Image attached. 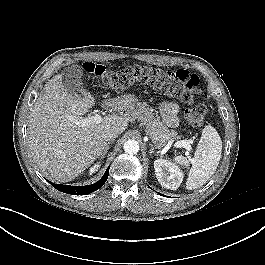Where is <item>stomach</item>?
<instances>
[{"instance_id":"1","label":"stomach","mask_w":265,"mask_h":265,"mask_svg":"<svg viewBox=\"0 0 265 265\" xmlns=\"http://www.w3.org/2000/svg\"><path fill=\"white\" fill-rule=\"evenodd\" d=\"M128 110L131 109L133 106H135L137 104L136 99L129 97L128 98Z\"/></svg>"}]
</instances>
